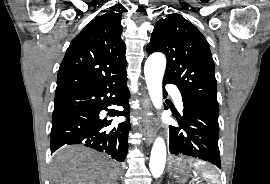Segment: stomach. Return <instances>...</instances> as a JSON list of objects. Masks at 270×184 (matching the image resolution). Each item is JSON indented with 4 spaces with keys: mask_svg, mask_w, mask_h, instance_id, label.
I'll return each mask as SVG.
<instances>
[{
    "mask_svg": "<svg viewBox=\"0 0 270 184\" xmlns=\"http://www.w3.org/2000/svg\"><path fill=\"white\" fill-rule=\"evenodd\" d=\"M169 171L170 175L179 181H186L190 176L189 167L181 159L171 161Z\"/></svg>",
    "mask_w": 270,
    "mask_h": 184,
    "instance_id": "0dacf381",
    "label": "stomach"
}]
</instances>
